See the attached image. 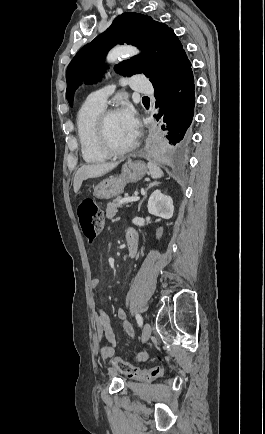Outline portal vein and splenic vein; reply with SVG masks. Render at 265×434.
Instances as JSON below:
<instances>
[{
    "mask_svg": "<svg viewBox=\"0 0 265 434\" xmlns=\"http://www.w3.org/2000/svg\"><path fill=\"white\" fill-rule=\"evenodd\" d=\"M137 200H140V198H138V196H133V198H123V200H121L120 204H124V202H137Z\"/></svg>",
    "mask_w": 265,
    "mask_h": 434,
    "instance_id": "obj_1",
    "label": "portal vein and splenic vein"
}]
</instances>
